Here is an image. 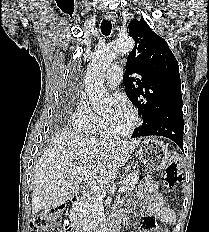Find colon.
Returning <instances> with one entry per match:
<instances>
[{"mask_svg":"<svg viewBox=\"0 0 209 232\" xmlns=\"http://www.w3.org/2000/svg\"><path fill=\"white\" fill-rule=\"evenodd\" d=\"M182 178V162L180 158H171L164 174V186L168 191L174 190ZM62 215L61 207H54L36 213L30 223L32 232H53V227Z\"/></svg>","mask_w":209,"mask_h":232,"instance_id":"colon-1","label":"colon"}]
</instances>
